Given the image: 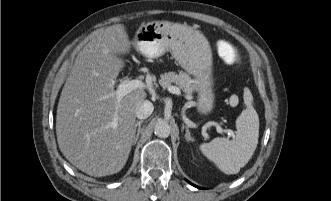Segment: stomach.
<instances>
[{"mask_svg":"<svg viewBox=\"0 0 331 201\" xmlns=\"http://www.w3.org/2000/svg\"><path fill=\"white\" fill-rule=\"evenodd\" d=\"M133 45L150 59L170 52L176 62L195 77L198 112L208 114L212 111V53L207 39L200 32L183 24L153 21L140 25Z\"/></svg>","mask_w":331,"mask_h":201,"instance_id":"1","label":"stomach"}]
</instances>
